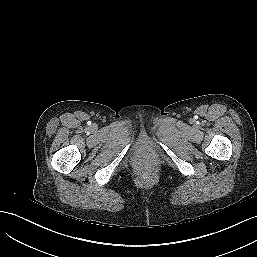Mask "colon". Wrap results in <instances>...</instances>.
<instances>
[{"mask_svg": "<svg viewBox=\"0 0 257 257\" xmlns=\"http://www.w3.org/2000/svg\"><path fill=\"white\" fill-rule=\"evenodd\" d=\"M150 177H151L150 174H144V176H143L144 179H148V178H150Z\"/></svg>", "mask_w": 257, "mask_h": 257, "instance_id": "obj_1", "label": "colon"}]
</instances>
